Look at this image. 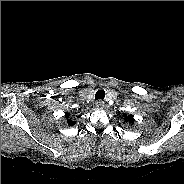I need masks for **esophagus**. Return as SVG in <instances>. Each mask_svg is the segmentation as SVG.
I'll list each match as a JSON object with an SVG mask.
<instances>
[{"instance_id":"1","label":"esophagus","mask_w":184,"mask_h":184,"mask_svg":"<svg viewBox=\"0 0 184 184\" xmlns=\"http://www.w3.org/2000/svg\"><path fill=\"white\" fill-rule=\"evenodd\" d=\"M96 107L99 108V109H102L104 107V102L99 100L96 102Z\"/></svg>"}]
</instances>
